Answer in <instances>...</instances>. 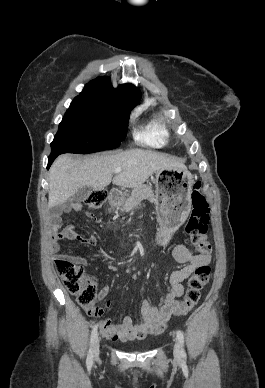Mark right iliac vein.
Masks as SVG:
<instances>
[{"instance_id":"right-iliac-vein-1","label":"right iliac vein","mask_w":265,"mask_h":388,"mask_svg":"<svg viewBox=\"0 0 265 388\" xmlns=\"http://www.w3.org/2000/svg\"><path fill=\"white\" fill-rule=\"evenodd\" d=\"M99 348H100V339L97 336L93 343V354H94L95 360L99 358V352H100Z\"/></svg>"}]
</instances>
